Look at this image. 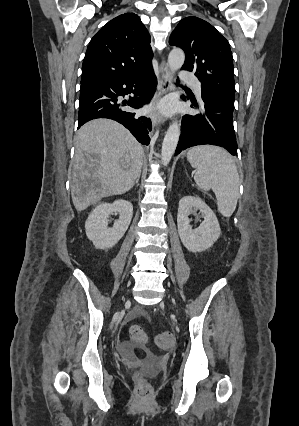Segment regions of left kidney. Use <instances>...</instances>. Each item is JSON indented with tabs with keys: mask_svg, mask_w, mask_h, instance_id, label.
I'll return each instance as SVG.
<instances>
[{
	"mask_svg": "<svg viewBox=\"0 0 299 426\" xmlns=\"http://www.w3.org/2000/svg\"><path fill=\"white\" fill-rule=\"evenodd\" d=\"M199 210L204 221L196 229L190 225L189 215ZM178 233L183 245L191 252L210 248L220 237L221 229L211 208L197 196H185L179 201L177 214Z\"/></svg>",
	"mask_w": 299,
	"mask_h": 426,
	"instance_id": "obj_1",
	"label": "left kidney"
}]
</instances>
